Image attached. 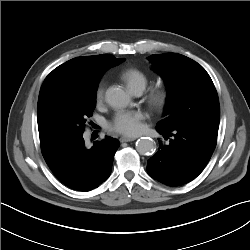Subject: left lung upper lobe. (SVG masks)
Masks as SVG:
<instances>
[{
    "mask_svg": "<svg viewBox=\"0 0 250 250\" xmlns=\"http://www.w3.org/2000/svg\"><path fill=\"white\" fill-rule=\"evenodd\" d=\"M148 59L168 88L164 118L156 128L174 131L189 124L220 119L215 86L200 64L176 53L154 54Z\"/></svg>",
    "mask_w": 250,
    "mask_h": 250,
    "instance_id": "obj_1",
    "label": "left lung upper lobe"
}]
</instances>
